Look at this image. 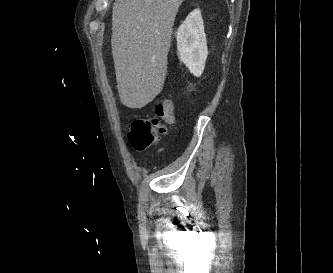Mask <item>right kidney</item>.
<instances>
[{
    "instance_id": "1",
    "label": "right kidney",
    "mask_w": 333,
    "mask_h": 273,
    "mask_svg": "<svg viewBox=\"0 0 333 273\" xmlns=\"http://www.w3.org/2000/svg\"><path fill=\"white\" fill-rule=\"evenodd\" d=\"M180 61L194 76H201L208 55L206 35L199 9L193 10L177 31Z\"/></svg>"
}]
</instances>
